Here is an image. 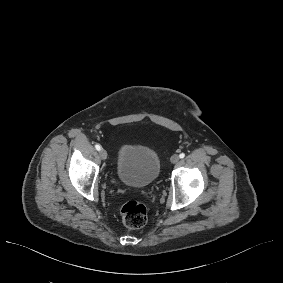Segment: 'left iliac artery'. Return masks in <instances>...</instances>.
I'll list each match as a JSON object with an SVG mask.
<instances>
[{
    "label": "left iliac artery",
    "mask_w": 283,
    "mask_h": 283,
    "mask_svg": "<svg viewBox=\"0 0 283 283\" xmlns=\"http://www.w3.org/2000/svg\"><path fill=\"white\" fill-rule=\"evenodd\" d=\"M179 157L182 159V158L185 157V154H184V153H181V154L179 155Z\"/></svg>",
    "instance_id": "obj_1"
}]
</instances>
